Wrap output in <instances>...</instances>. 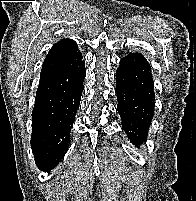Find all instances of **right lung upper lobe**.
<instances>
[{"label":"right lung upper lobe","mask_w":196,"mask_h":201,"mask_svg":"<svg viewBox=\"0 0 196 201\" xmlns=\"http://www.w3.org/2000/svg\"><path fill=\"white\" fill-rule=\"evenodd\" d=\"M55 57H75L82 58L75 41L65 39L57 42L47 54L46 59Z\"/></svg>","instance_id":"cb5924a9"}]
</instances>
